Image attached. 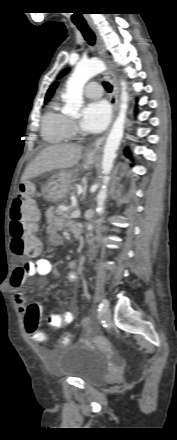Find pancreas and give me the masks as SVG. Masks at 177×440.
Returning <instances> with one entry per match:
<instances>
[{"label":"pancreas","instance_id":"cf45deb5","mask_svg":"<svg viewBox=\"0 0 177 440\" xmlns=\"http://www.w3.org/2000/svg\"><path fill=\"white\" fill-rule=\"evenodd\" d=\"M56 214L65 219H71V210H62L60 207L57 208Z\"/></svg>","mask_w":177,"mask_h":440}]
</instances>
